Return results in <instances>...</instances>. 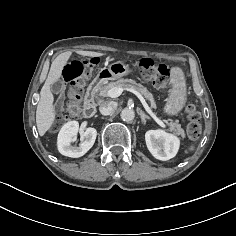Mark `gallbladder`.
Masks as SVG:
<instances>
[{"instance_id":"obj_1","label":"gallbladder","mask_w":236,"mask_h":236,"mask_svg":"<svg viewBox=\"0 0 236 236\" xmlns=\"http://www.w3.org/2000/svg\"><path fill=\"white\" fill-rule=\"evenodd\" d=\"M50 88H51V91H52L53 93L58 94V93H60V92L62 91V89H63V82H62L61 80H57L56 82H54L53 84H51Z\"/></svg>"}]
</instances>
